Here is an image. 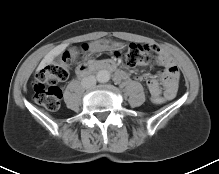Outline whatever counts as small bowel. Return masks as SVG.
<instances>
[{
	"instance_id": "small-bowel-1",
	"label": "small bowel",
	"mask_w": 219,
	"mask_h": 174,
	"mask_svg": "<svg viewBox=\"0 0 219 174\" xmlns=\"http://www.w3.org/2000/svg\"><path fill=\"white\" fill-rule=\"evenodd\" d=\"M157 54V62L163 67L161 71V76L163 78L164 84H158L155 79H150L147 75H143L141 79L146 81V91L150 95L155 96H167L169 99H173L177 92L179 71L175 65L171 56L159 46L153 45L150 47ZM127 77V73L119 70L114 79L119 82Z\"/></svg>"
}]
</instances>
